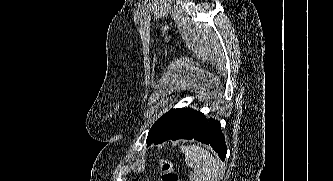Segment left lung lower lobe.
<instances>
[{
  "label": "left lung lower lobe",
  "instance_id": "obj_1",
  "mask_svg": "<svg viewBox=\"0 0 333 181\" xmlns=\"http://www.w3.org/2000/svg\"><path fill=\"white\" fill-rule=\"evenodd\" d=\"M177 139H194L204 144L210 145L219 155L222 161L225 160L227 147L225 144L224 135L221 132V125L215 119L205 118L204 114L199 112L195 119L178 135L172 138ZM163 139L155 138L150 144L163 143Z\"/></svg>",
  "mask_w": 333,
  "mask_h": 181
}]
</instances>
